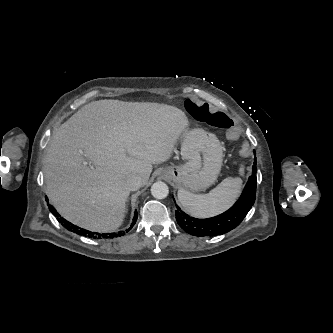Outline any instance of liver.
<instances>
[{"mask_svg": "<svg viewBox=\"0 0 333 333\" xmlns=\"http://www.w3.org/2000/svg\"><path fill=\"white\" fill-rule=\"evenodd\" d=\"M188 119L176 107L99 100L88 103L54 133L44 160L46 194L68 221L95 232L121 226L126 180L148 182L152 164L167 161Z\"/></svg>", "mask_w": 333, "mask_h": 333, "instance_id": "1", "label": "liver"}]
</instances>
